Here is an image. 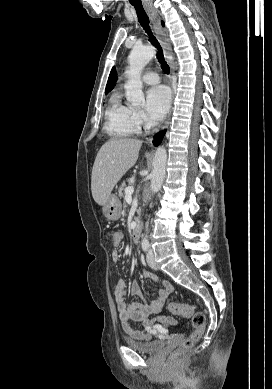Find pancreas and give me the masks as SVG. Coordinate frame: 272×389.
Segmentation results:
<instances>
[{
    "label": "pancreas",
    "instance_id": "pancreas-1",
    "mask_svg": "<svg viewBox=\"0 0 272 389\" xmlns=\"http://www.w3.org/2000/svg\"><path fill=\"white\" fill-rule=\"evenodd\" d=\"M127 182H128V184H129L130 186H132L133 182H132L131 180L128 179ZM125 189H126V182H123V183L121 184V186L119 187V190H118L119 195H120L121 197H124V196H125Z\"/></svg>",
    "mask_w": 272,
    "mask_h": 389
}]
</instances>
